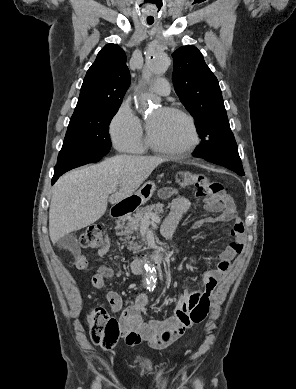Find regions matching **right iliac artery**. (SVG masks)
Wrapping results in <instances>:
<instances>
[{"label": "right iliac artery", "instance_id": "right-iliac-artery-1", "mask_svg": "<svg viewBox=\"0 0 296 389\" xmlns=\"http://www.w3.org/2000/svg\"><path fill=\"white\" fill-rule=\"evenodd\" d=\"M99 387H100V385H99L98 383H96V384H95V389H96V388H99Z\"/></svg>", "mask_w": 296, "mask_h": 389}]
</instances>
